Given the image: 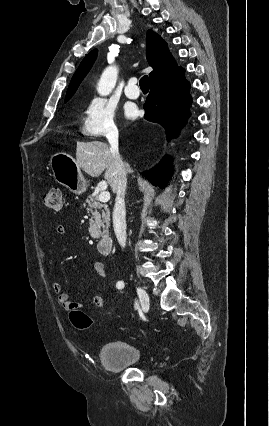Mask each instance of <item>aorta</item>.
Here are the masks:
<instances>
[{
  "label": "aorta",
  "mask_w": 269,
  "mask_h": 426,
  "mask_svg": "<svg viewBox=\"0 0 269 426\" xmlns=\"http://www.w3.org/2000/svg\"><path fill=\"white\" fill-rule=\"evenodd\" d=\"M117 73V69L112 66L104 70L97 87L100 95H107L111 92L117 81Z\"/></svg>",
  "instance_id": "1"
}]
</instances>
